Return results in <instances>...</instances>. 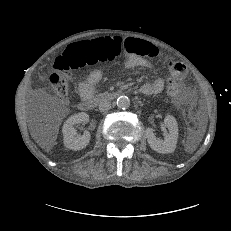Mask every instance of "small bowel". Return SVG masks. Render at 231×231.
Segmentation results:
<instances>
[{"label":"small bowel","instance_id":"1","mask_svg":"<svg viewBox=\"0 0 231 231\" xmlns=\"http://www.w3.org/2000/svg\"><path fill=\"white\" fill-rule=\"evenodd\" d=\"M123 48L125 55L123 63L129 68H151L152 63L147 57H157L159 55L158 49L150 42L139 38H126L123 40ZM165 69L170 70L174 79L180 83H184L187 77L185 66L176 62L172 56H167L163 60ZM102 79V73L99 70L92 71L89 76L80 82L78 91L82 99L90 98L95 92L96 86ZM164 89V81L156 79L152 82L144 83L140 87L141 93L144 95H155L162 92Z\"/></svg>","mask_w":231,"mask_h":231}]
</instances>
